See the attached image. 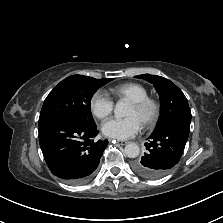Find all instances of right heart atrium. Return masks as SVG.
Instances as JSON below:
<instances>
[{"mask_svg": "<svg viewBox=\"0 0 223 223\" xmlns=\"http://www.w3.org/2000/svg\"><path fill=\"white\" fill-rule=\"evenodd\" d=\"M114 102L104 92H96L90 100L92 114L99 120L107 119L113 112Z\"/></svg>", "mask_w": 223, "mask_h": 223, "instance_id": "right-heart-atrium-1", "label": "right heart atrium"}]
</instances>
